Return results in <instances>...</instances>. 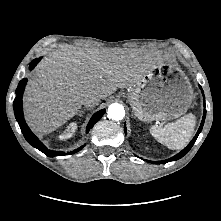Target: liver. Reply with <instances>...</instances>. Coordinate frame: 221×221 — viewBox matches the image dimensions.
Listing matches in <instances>:
<instances>
[{"label":"liver","mask_w":221,"mask_h":221,"mask_svg":"<svg viewBox=\"0 0 221 221\" xmlns=\"http://www.w3.org/2000/svg\"><path fill=\"white\" fill-rule=\"evenodd\" d=\"M159 53L136 49L67 47L52 52L26 87L24 109L31 129L50 133L80 111L86 93L105 99L163 64Z\"/></svg>","instance_id":"obj_1"}]
</instances>
